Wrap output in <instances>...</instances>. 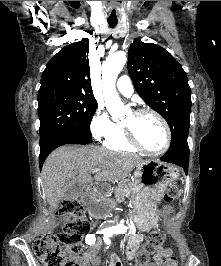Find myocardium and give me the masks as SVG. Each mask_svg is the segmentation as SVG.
Here are the masks:
<instances>
[{
	"label": "myocardium",
	"instance_id": "1",
	"mask_svg": "<svg viewBox=\"0 0 221 266\" xmlns=\"http://www.w3.org/2000/svg\"><path fill=\"white\" fill-rule=\"evenodd\" d=\"M133 114L135 116H142L144 114H151L155 116L164 128L165 140H164L163 146L160 149L148 150L140 143L133 128L126 126V125H122L125 131L126 138L129 141V143L138 151L146 155H149V156H159L165 153L168 150L170 143H171V130L165 118L160 113H158L157 111L151 108H140V109L135 110Z\"/></svg>",
	"mask_w": 221,
	"mask_h": 266
}]
</instances>
